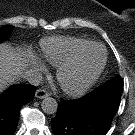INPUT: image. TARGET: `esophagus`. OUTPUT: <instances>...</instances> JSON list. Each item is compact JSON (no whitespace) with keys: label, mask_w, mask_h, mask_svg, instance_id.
<instances>
[{"label":"esophagus","mask_w":135,"mask_h":135,"mask_svg":"<svg viewBox=\"0 0 135 135\" xmlns=\"http://www.w3.org/2000/svg\"><path fill=\"white\" fill-rule=\"evenodd\" d=\"M49 95H50V93L47 90H44V89H38L35 92V97L40 98V99L46 98Z\"/></svg>","instance_id":"obj_1"}]
</instances>
